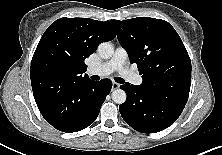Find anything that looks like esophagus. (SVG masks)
<instances>
[{"mask_svg":"<svg viewBox=\"0 0 222 155\" xmlns=\"http://www.w3.org/2000/svg\"><path fill=\"white\" fill-rule=\"evenodd\" d=\"M120 87V84L119 83H116V82H113L112 83V89L113 90H116V89H118Z\"/></svg>","mask_w":222,"mask_h":155,"instance_id":"esophagus-1","label":"esophagus"}]
</instances>
